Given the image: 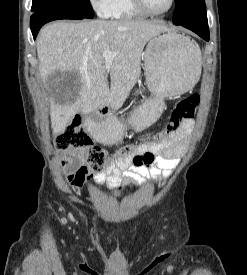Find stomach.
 Returning <instances> with one entry per match:
<instances>
[{"mask_svg":"<svg viewBox=\"0 0 247 275\" xmlns=\"http://www.w3.org/2000/svg\"><path fill=\"white\" fill-rule=\"evenodd\" d=\"M201 53L188 37L168 30L152 37L144 52L146 84L151 97L124 123L92 122L88 129L105 144L118 142L127 128L142 131L161 116L164 99L192 89L201 74Z\"/></svg>","mask_w":247,"mask_h":275,"instance_id":"0dacf381","label":"stomach"}]
</instances>
